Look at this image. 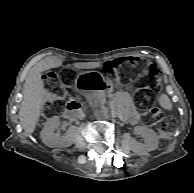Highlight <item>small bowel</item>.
<instances>
[{
  "label": "small bowel",
  "instance_id": "c3829d8e",
  "mask_svg": "<svg viewBox=\"0 0 194 193\" xmlns=\"http://www.w3.org/2000/svg\"><path fill=\"white\" fill-rule=\"evenodd\" d=\"M119 102L125 105L130 121L137 123L139 121V115L134 110L131 101L125 96H120Z\"/></svg>",
  "mask_w": 194,
  "mask_h": 193
}]
</instances>
